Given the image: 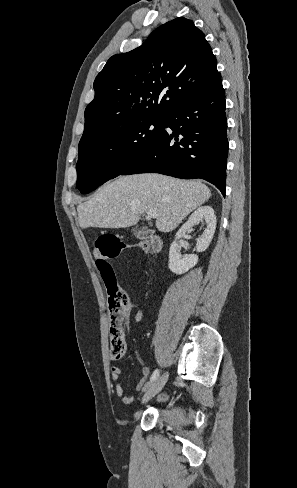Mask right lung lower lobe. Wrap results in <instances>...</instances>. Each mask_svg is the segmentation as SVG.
<instances>
[{"label":"right lung lower lobe","instance_id":"right-lung-lower-lobe-1","mask_svg":"<svg viewBox=\"0 0 297 488\" xmlns=\"http://www.w3.org/2000/svg\"><path fill=\"white\" fill-rule=\"evenodd\" d=\"M225 107L220 78L170 113L161 134L121 175L160 173L183 179L200 178L214 184L225 196Z\"/></svg>","mask_w":297,"mask_h":488}]
</instances>
